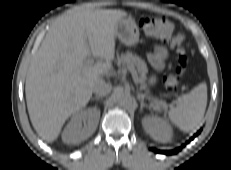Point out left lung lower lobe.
<instances>
[{
	"instance_id": "1",
	"label": "left lung lower lobe",
	"mask_w": 231,
	"mask_h": 170,
	"mask_svg": "<svg viewBox=\"0 0 231 170\" xmlns=\"http://www.w3.org/2000/svg\"><path fill=\"white\" fill-rule=\"evenodd\" d=\"M200 133V131H198L197 134H195L190 140H193L194 137H196L198 134ZM187 143H189V141H187ZM184 146V145H183ZM182 149V147H179L175 150H169V151H156L157 153H162V154H166V155H172V154H176L177 152H179ZM153 150V149H152Z\"/></svg>"
}]
</instances>
